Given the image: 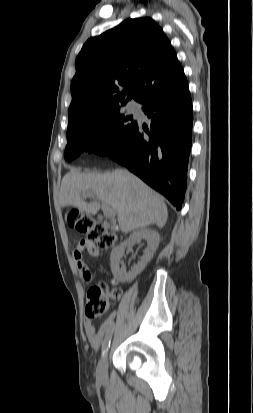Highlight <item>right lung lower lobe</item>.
I'll return each instance as SVG.
<instances>
[{
	"instance_id": "98d812e1",
	"label": "right lung lower lobe",
	"mask_w": 253,
	"mask_h": 413,
	"mask_svg": "<svg viewBox=\"0 0 253 413\" xmlns=\"http://www.w3.org/2000/svg\"><path fill=\"white\" fill-rule=\"evenodd\" d=\"M143 105V111L151 119L150 130L137 123L105 156L127 167L180 210L192 144L189 88Z\"/></svg>"
}]
</instances>
